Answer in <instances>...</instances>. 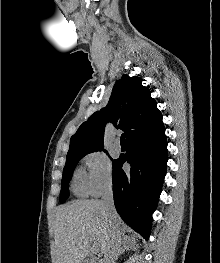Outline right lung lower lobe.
Segmentation results:
<instances>
[{"label":"right lung lower lobe","mask_w":220,"mask_h":263,"mask_svg":"<svg viewBox=\"0 0 220 263\" xmlns=\"http://www.w3.org/2000/svg\"><path fill=\"white\" fill-rule=\"evenodd\" d=\"M168 160L165 128L127 141V152L113 162V194L118 214L146 240L162 190ZM127 161L129 172L122 169Z\"/></svg>","instance_id":"obj_1"}]
</instances>
